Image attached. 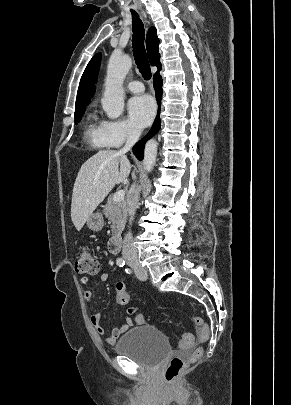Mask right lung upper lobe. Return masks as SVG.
<instances>
[{
    "instance_id": "obj_1",
    "label": "right lung upper lobe",
    "mask_w": 291,
    "mask_h": 405,
    "mask_svg": "<svg viewBox=\"0 0 291 405\" xmlns=\"http://www.w3.org/2000/svg\"><path fill=\"white\" fill-rule=\"evenodd\" d=\"M159 39L156 35L155 27H151L146 37V47L148 51L149 61L152 66H157L159 72L161 70L160 54H159ZM101 54H96L88 63L80 80L75 110L86 108L89 105L90 99L93 97L96 90L97 75L100 67ZM156 72V73H157Z\"/></svg>"
}]
</instances>
